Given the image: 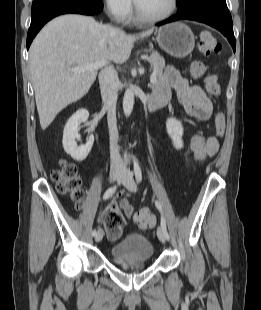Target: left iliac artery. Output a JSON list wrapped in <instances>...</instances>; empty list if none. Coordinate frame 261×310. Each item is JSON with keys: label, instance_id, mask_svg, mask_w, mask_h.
Wrapping results in <instances>:
<instances>
[{"label": "left iliac artery", "instance_id": "obj_1", "mask_svg": "<svg viewBox=\"0 0 261 310\" xmlns=\"http://www.w3.org/2000/svg\"><path fill=\"white\" fill-rule=\"evenodd\" d=\"M134 173H135L136 180L140 183L142 181V172H141L140 166H139L136 159H134ZM155 205L161 213V227L164 231L166 239L169 240V234L167 232L166 221H165V218H164L163 212H162V206H161L160 202H158V201H155Z\"/></svg>", "mask_w": 261, "mask_h": 310}]
</instances>
